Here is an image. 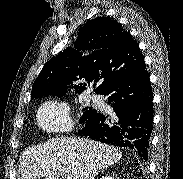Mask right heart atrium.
Listing matches in <instances>:
<instances>
[{"mask_svg":"<svg viewBox=\"0 0 183 179\" xmlns=\"http://www.w3.org/2000/svg\"><path fill=\"white\" fill-rule=\"evenodd\" d=\"M38 124L49 132H64L71 127L69 107L66 103L49 101L38 110Z\"/></svg>","mask_w":183,"mask_h":179,"instance_id":"d8ad5b80","label":"right heart atrium"}]
</instances>
